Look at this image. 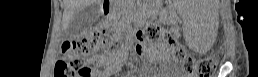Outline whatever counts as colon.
<instances>
[{
    "label": "colon",
    "mask_w": 258,
    "mask_h": 77,
    "mask_svg": "<svg viewBox=\"0 0 258 77\" xmlns=\"http://www.w3.org/2000/svg\"><path fill=\"white\" fill-rule=\"evenodd\" d=\"M140 45L165 43L173 52L175 61L183 64L186 72L192 77H210L216 63L211 58L195 59L187 55L175 37L158 24L151 23L142 31ZM105 47L110 53H120L123 45L119 40L110 41L100 29L75 39L67 44L62 57L55 64L54 77H92L98 73L100 50Z\"/></svg>",
    "instance_id": "5ec220e1"
}]
</instances>
